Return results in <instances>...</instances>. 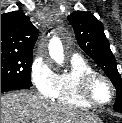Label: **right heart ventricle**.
I'll return each mask as SVG.
<instances>
[{
    "label": "right heart ventricle",
    "instance_id": "right-heart-ventricle-1",
    "mask_svg": "<svg viewBox=\"0 0 122 123\" xmlns=\"http://www.w3.org/2000/svg\"><path fill=\"white\" fill-rule=\"evenodd\" d=\"M95 71L93 66L79 55H74L70 68L57 75L55 91L52 96L57 102L78 108H90L92 105L82 100L78 94L80 79L89 72Z\"/></svg>",
    "mask_w": 122,
    "mask_h": 123
}]
</instances>
